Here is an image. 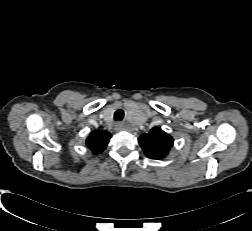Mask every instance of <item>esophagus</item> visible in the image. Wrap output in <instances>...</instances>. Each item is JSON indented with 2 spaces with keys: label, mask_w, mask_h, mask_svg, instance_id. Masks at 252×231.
Masks as SVG:
<instances>
[{
  "label": "esophagus",
  "mask_w": 252,
  "mask_h": 231,
  "mask_svg": "<svg viewBox=\"0 0 252 231\" xmlns=\"http://www.w3.org/2000/svg\"><path fill=\"white\" fill-rule=\"evenodd\" d=\"M114 130H115V131H121V130H123V125H122V123H120V122L115 123V125H114Z\"/></svg>",
  "instance_id": "obj_1"
}]
</instances>
